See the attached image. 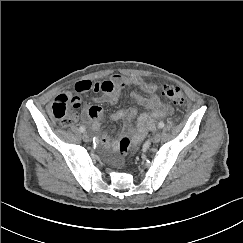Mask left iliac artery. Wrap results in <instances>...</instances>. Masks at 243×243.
<instances>
[{
	"instance_id": "1",
	"label": "left iliac artery",
	"mask_w": 243,
	"mask_h": 243,
	"mask_svg": "<svg viewBox=\"0 0 243 243\" xmlns=\"http://www.w3.org/2000/svg\"><path fill=\"white\" fill-rule=\"evenodd\" d=\"M158 127H159V128H163V127H164V123H163V122H160V123L158 124Z\"/></svg>"
}]
</instances>
